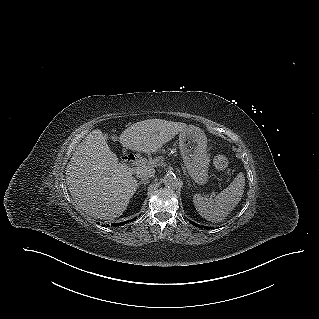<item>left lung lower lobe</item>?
I'll return each mask as SVG.
<instances>
[{
    "label": "left lung lower lobe",
    "mask_w": 319,
    "mask_h": 319,
    "mask_svg": "<svg viewBox=\"0 0 319 319\" xmlns=\"http://www.w3.org/2000/svg\"><path fill=\"white\" fill-rule=\"evenodd\" d=\"M190 223H192L194 226H199V225H197L196 223H194V222H192V221H190ZM200 228H205V229H212V227H207V226H200Z\"/></svg>",
    "instance_id": "0a47b994"
}]
</instances>
